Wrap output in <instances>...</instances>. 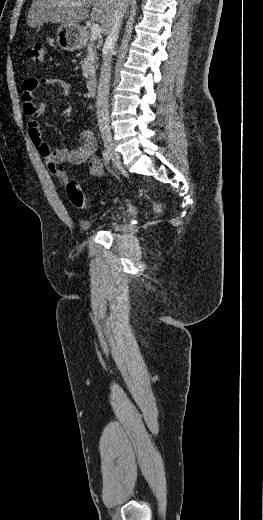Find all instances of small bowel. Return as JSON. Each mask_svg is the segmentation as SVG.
Instances as JSON below:
<instances>
[{
	"instance_id": "small-bowel-1",
	"label": "small bowel",
	"mask_w": 263,
	"mask_h": 520,
	"mask_svg": "<svg viewBox=\"0 0 263 520\" xmlns=\"http://www.w3.org/2000/svg\"><path fill=\"white\" fill-rule=\"evenodd\" d=\"M42 85L53 86L64 95L70 93L71 85L64 80L56 78H28L22 84V102L24 113L28 117V135L48 169L62 182H66L68 174L58 169L59 164L80 165L87 163L91 176L93 178L100 177L103 173V164L96 155L97 139L92 130H83L79 135L77 146L72 149L60 148L51 150L48 143L44 140L37 118L43 115L45 105L34 101L35 91Z\"/></svg>"
}]
</instances>
